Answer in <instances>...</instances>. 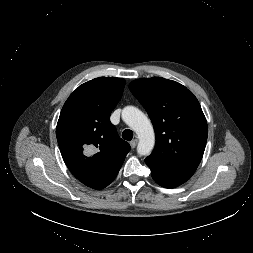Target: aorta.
Masks as SVG:
<instances>
[{
  "label": "aorta",
  "instance_id": "aorta-1",
  "mask_svg": "<svg viewBox=\"0 0 253 253\" xmlns=\"http://www.w3.org/2000/svg\"><path fill=\"white\" fill-rule=\"evenodd\" d=\"M122 119L138 136V154L149 155L154 148L155 134L147 116L138 108L127 106L122 110Z\"/></svg>",
  "mask_w": 253,
  "mask_h": 253
}]
</instances>
